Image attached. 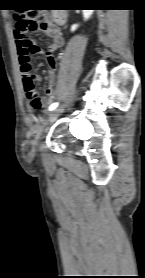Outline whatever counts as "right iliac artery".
Segmentation results:
<instances>
[{"label":"right iliac artery","instance_id":"right-iliac-artery-1","mask_svg":"<svg viewBox=\"0 0 145 278\" xmlns=\"http://www.w3.org/2000/svg\"><path fill=\"white\" fill-rule=\"evenodd\" d=\"M58 106V103H53L50 105L49 110L52 111Z\"/></svg>","mask_w":145,"mask_h":278}]
</instances>
